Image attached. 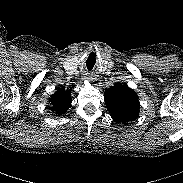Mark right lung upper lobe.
<instances>
[{"label": "right lung upper lobe", "mask_w": 183, "mask_h": 183, "mask_svg": "<svg viewBox=\"0 0 183 183\" xmlns=\"http://www.w3.org/2000/svg\"><path fill=\"white\" fill-rule=\"evenodd\" d=\"M71 90V88L67 90L59 88L51 96L49 102L51 104V110L53 113L61 115L68 110L71 104Z\"/></svg>", "instance_id": "1"}]
</instances>
